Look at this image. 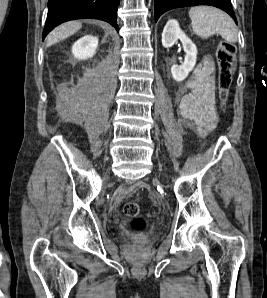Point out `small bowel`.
I'll return each instance as SVG.
<instances>
[{"label": "small bowel", "instance_id": "small-bowel-1", "mask_svg": "<svg viewBox=\"0 0 267 298\" xmlns=\"http://www.w3.org/2000/svg\"><path fill=\"white\" fill-rule=\"evenodd\" d=\"M214 71V61L205 57L186 81L177 105L183 122L202 136L212 131L218 120Z\"/></svg>", "mask_w": 267, "mask_h": 298}]
</instances>
